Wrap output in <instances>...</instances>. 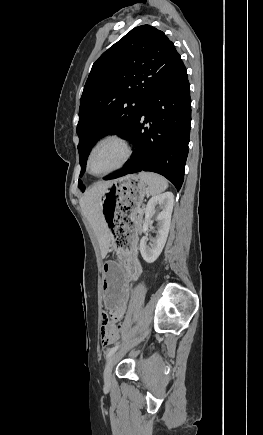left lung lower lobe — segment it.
Listing matches in <instances>:
<instances>
[{
  "label": "left lung lower lobe",
  "mask_w": 263,
  "mask_h": 435,
  "mask_svg": "<svg viewBox=\"0 0 263 435\" xmlns=\"http://www.w3.org/2000/svg\"><path fill=\"white\" fill-rule=\"evenodd\" d=\"M190 127V87L181 60L144 104L128 137L135 146L132 157L124 169L104 179L151 171L166 177L179 190L184 180Z\"/></svg>",
  "instance_id": "obj_1"
}]
</instances>
